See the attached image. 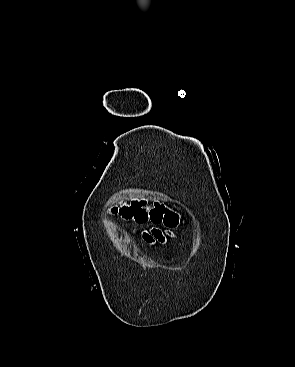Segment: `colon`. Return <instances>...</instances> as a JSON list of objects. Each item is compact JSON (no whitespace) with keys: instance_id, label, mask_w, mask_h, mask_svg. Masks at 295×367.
<instances>
[{"instance_id":"obj_1","label":"colon","mask_w":295,"mask_h":367,"mask_svg":"<svg viewBox=\"0 0 295 367\" xmlns=\"http://www.w3.org/2000/svg\"><path fill=\"white\" fill-rule=\"evenodd\" d=\"M134 216H135V219H136L138 222H143V221H145V220L148 218L147 213H146L144 210H142V209H140V210L136 211V212H135V214H134ZM160 218H162V213H161V211H160V210H156V211H154V212L151 214V219H152V220H159ZM170 221H172V222H176V219H175L174 217H172V218L170 219Z\"/></svg>"}]
</instances>
